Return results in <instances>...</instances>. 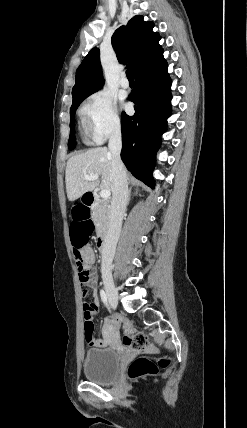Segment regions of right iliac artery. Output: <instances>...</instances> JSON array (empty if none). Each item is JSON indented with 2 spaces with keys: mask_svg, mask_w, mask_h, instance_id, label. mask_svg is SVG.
Instances as JSON below:
<instances>
[{
  "mask_svg": "<svg viewBox=\"0 0 247 428\" xmlns=\"http://www.w3.org/2000/svg\"><path fill=\"white\" fill-rule=\"evenodd\" d=\"M100 297L102 302L107 305L108 301H107V295L105 293V291L103 289L100 290Z\"/></svg>",
  "mask_w": 247,
  "mask_h": 428,
  "instance_id": "right-iliac-artery-1",
  "label": "right iliac artery"
}]
</instances>
